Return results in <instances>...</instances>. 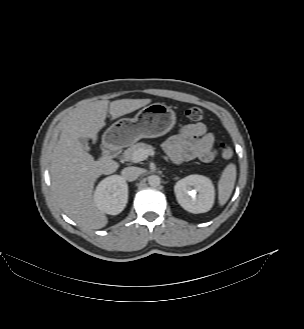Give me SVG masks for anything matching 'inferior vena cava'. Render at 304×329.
I'll return each instance as SVG.
<instances>
[{
	"label": "inferior vena cava",
	"instance_id": "inferior-vena-cava-1",
	"mask_svg": "<svg viewBox=\"0 0 304 329\" xmlns=\"http://www.w3.org/2000/svg\"><path fill=\"white\" fill-rule=\"evenodd\" d=\"M140 175V170L137 167H126L121 171V177L125 181H134Z\"/></svg>",
	"mask_w": 304,
	"mask_h": 329
}]
</instances>
